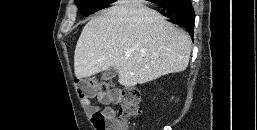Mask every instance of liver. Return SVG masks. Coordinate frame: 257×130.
I'll return each instance as SVG.
<instances>
[{
  "instance_id": "1",
  "label": "liver",
  "mask_w": 257,
  "mask_h": 130,
  "mask_svg": "<svg viewBox=\"0 0 257 130\" xmlns=\"http://www.w3.org/2000/svg\"><path fill=\"white\" fill-rule=\"evenodd\" d=\"M191 44L185 31L157 11L138 1H120L83 28L74 52L75 76L87 78L113 67L119 84L133 87L184 71Z\"/></svg>"
}]
</instances>
